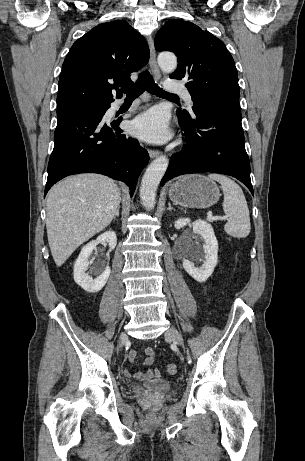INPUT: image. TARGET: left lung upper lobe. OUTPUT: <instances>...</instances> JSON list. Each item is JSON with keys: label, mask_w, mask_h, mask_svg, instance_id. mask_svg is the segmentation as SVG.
I'll return each mask as SVG.
<instances>
[{"label": "left lung upper lobe", "mask_w": 305, "mask_h": 461, "mask_svg": "<svg viewBox=\"0 0 305 461\" xmlns=\"http://www.w3.org/2000/svg\"><path fill=\"white\" fill-rule=\"evenodd\" d=\"M155 48L176 54L178 67L170 77L187 81L194 105L225 96L240 97L234 60L224 43L208 31L191 22L172 19L156 34ZM177 113L188 114L180 110Z\"/></svg>", "instance_id": "5c2ea615"}]
</instances>
